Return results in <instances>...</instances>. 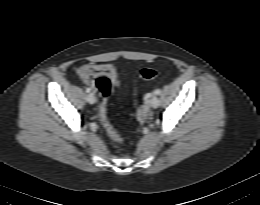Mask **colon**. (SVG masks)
Masks as SVG:
<instances>
[{
	"label": "colon",
	"mask_w": 260,
	"mask_h": 205,
	"mask_svg": "<svg viewBox=\"0 0 260 205\" xmlns=\"http://www.w3.org/2000/svg\"><path fill=\"white\" fill-rule=\"evenodd\" d=\"M142 80H154L160 76V72L154 68H143L139 72ZM95 87L102 96L100 102L101 123L108 136L117 143H122V139L114 129L108 117V96L114 87L113 80L106 76L100 75L95 81Z\"/></svg>",
	"instance_id": "1"
}]
</instances>
